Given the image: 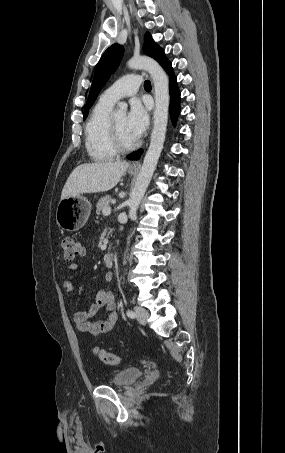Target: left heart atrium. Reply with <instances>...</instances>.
Wrapping results in <instances>:
<instances>
[{
  "instance_id": "1",
  "label": "left heart atrium",
  "mask_w": 285,
  "mask_h": 453,
  "mask_svg": "<svg viewBox=\"0 0 285 453\" xmlns=\"http://www.w3.org/2000/svg\"><path fill=\"white\" fill-rule=\"evenodd\" d=\"M149 117L144 105L137 99L133 100L126 116V124L131 135L139 139L145 132Z\"/></svg>"
}]
</instances>
